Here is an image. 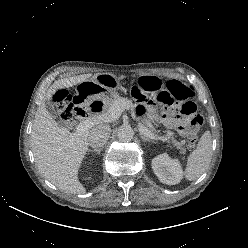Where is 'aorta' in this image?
<instances>
[{
    "instance_id": "obj_1",
    "label": "aorta",
    "mask_w": 248,
    "mask_h": 248,
    "mask_svg": "<svg viewBox=\"0 0 248 248\" xmlns=\"http://www.w3.org/2000/svg\"><path fill=\"white\" fill-rule=\"evenodd\" d=\"M134 137V131L129 125H122L117 130V138L121 142H129Z\"/></svg>"
}]
</instances>
